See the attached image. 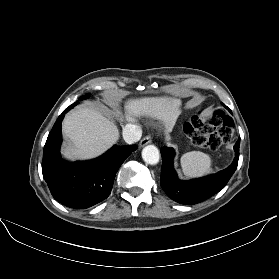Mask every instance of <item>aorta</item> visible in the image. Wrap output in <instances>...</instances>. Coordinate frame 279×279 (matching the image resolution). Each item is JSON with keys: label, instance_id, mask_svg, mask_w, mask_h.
Instances as JSON below:
<instances>
[{"label": "aorta", "instance_id": "762f6f07", "mask_svg": "<svg viewBox=\"0 0 279 279\" xmlns=\"http://www.w3.org/2000/svg\"><path fill=\"white\" fill-rule=\"evenodd\" d=\"M142 158L147 164L156 165L160 159V153L156 146L147 145L142 150Z\"/></svg>", "mask_w": 279, "mask_h": 279}]
</instances>
